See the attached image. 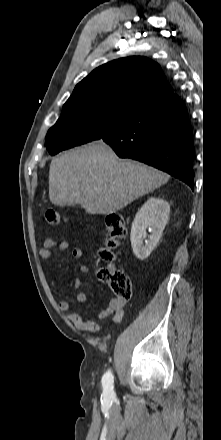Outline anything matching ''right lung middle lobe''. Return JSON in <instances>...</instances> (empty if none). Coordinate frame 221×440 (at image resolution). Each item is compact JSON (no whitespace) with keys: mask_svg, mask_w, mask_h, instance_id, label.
<instances>
[{"mask_svg":"<svg viewBox=\"0 0 221 440\" xmlns=\"http://www.w3.org/2000/svg\"><path fill=\"white\" fill-rule=\"evenodd\" d=\"M135 110L108 101H76L63 106V111L46 135L51 155L93 140H98Z\"/></svg>","mask_w":221,"mask_h":440,"instance_id":"1","label":"right lung middle lobe"}]
</instances>
